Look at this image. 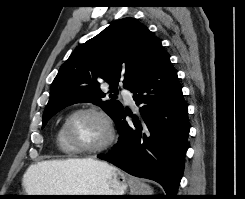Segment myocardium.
Returning a JSON list of instances; mask_svg holds the SVG:
<instances>
[{"label":"myocardium","instance_id":"myocardium-1","mask_svg":"<svg viewBox=\"0 0 245 199\" xmlns=\"http://www.w3.org/2000/svg\"><path fill=\"white\" fill-rule=\"evenodd\" d=\"M80 114H93L99 117L103 121L107 129V138L101 145L95 148H85V147L79 146L73 140L70 130H69V126L73 118H75L77 115H80ZM62 128H63V134L65 137V140L70 145V147L74 150V152L77 154H83V155L101 154L105 152L106 150H108L113 145L115 138H116L115 127H114L113 121L110 118V116L104 110L97 108V107H93V106L82 107V108L73 110L66 117L62 125Z\"/></svg>","mask_w":245,"mask_h":199}]
</instances>
